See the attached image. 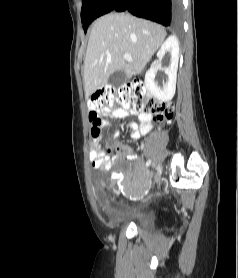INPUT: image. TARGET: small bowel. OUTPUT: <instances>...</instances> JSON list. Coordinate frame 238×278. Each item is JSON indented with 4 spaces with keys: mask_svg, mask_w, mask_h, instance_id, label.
<instances>
[{
    "mask_svg": "<svg viewBox=\"0 0 238 278\" xmlns=\"http://www.w3.org/2000/svg\"><path fill=\"white\" fill-rule=\"evenodd\" d=\"M105 116H110V118L101 121L99 126L100 131L105 126L115 125L113 119H123L129 115V112L124 109H115L112 111H104ZM129 127L131 129L132 139H139L142 135L150 132L152 128L151 115L148 113L139 114V122H130ZM99 138V137H98ZM98 138H94L93 147L90 153V159L92 161L93 167L101 172H104L110 168V166L118 160L122 155H127L129 158L134 159V156L130 153V150L122 145L118 140L112 138L109 142V146H113L119 152L118 155L112 158H107L104 151L101 149L98 142ZM120 191V187L116 188Z\"/></svg>",
    "mask_w": 238,
    "mask_h": 278,
    "instance_id": "c3829d8e",
    "label": "small bowel"
}]
</instances>
